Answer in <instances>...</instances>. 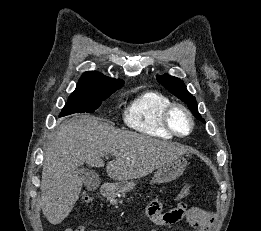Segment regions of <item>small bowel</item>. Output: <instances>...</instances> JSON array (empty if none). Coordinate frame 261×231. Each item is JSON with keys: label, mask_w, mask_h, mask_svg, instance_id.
Listing matches in <instances>:
<instances>
[{"label": "small bowel", "mask_w": 261, "mask_h": 231, "mask_svg": "<svg viewBox=\"0 0 261 231\" xmlns=\"http://www.w3.org/2000/svg\"><path fill=\"white\" fill-rule=\"evenodd\" d=\"M189 191L185 194L179 193L177 198L182 199L188 195ZM191 209H188L185 203L179 202L176 207L163 211V203L159 198L151 200L148 204V215L154 225L160 226H173L177 224L182 218L189 220ZM64 231H86V225H80L75 229L66 228ZM97 231V230H93ZM206 231H211L209 227Z\"/></svg>", "instance_id": "1"}]
</instances>
